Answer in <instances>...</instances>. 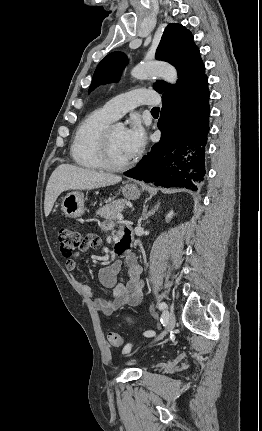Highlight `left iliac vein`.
Returning a JSON list of instances; mask_svg holds the SVG:
<instances>
[{"label":"left iliac vein","instance_id":"4c4485c4","mask_svg":"<svg viewBox=\"0 0 262 431\" xmlns=\"http://www.w3.org/2000/svg\"><path fill=\"white\" fill-rule=\"evenodd\" d=\"M164 315L166 317V330L159 335L156 340L162 339L169 331H171L175 327V316L173 311L169 310L164 312Z\"/></svg>","mask_w":262,"mask_h":431}]
</instances>
